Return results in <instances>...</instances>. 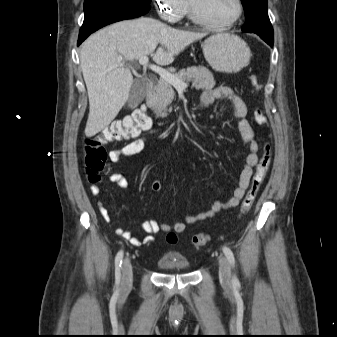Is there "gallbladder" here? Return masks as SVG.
<instances>
[{"label": "gallbladder", "instance_id": "1", "mask_svg": "<svg viewBox=\"0 0 337 337\" xmlns=\"http://www.w3.org/2000/svg\"><path fill=\"white\" fill-rule=\"evenodd\" d=\"M146 90V82L143 78H137L133 82L130 93L128 103L131 107H136L140 101L143 99Z\"/></svg>", "mask_w": 337, "mask_h": 337}]
</instances>
